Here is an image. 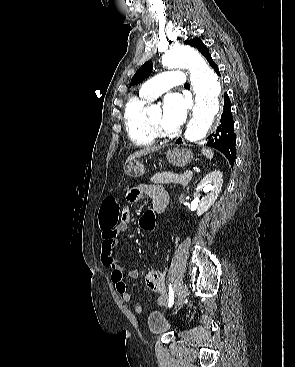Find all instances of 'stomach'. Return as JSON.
I'll return each mask as SVG.
<instances>
[{"label": "stomach", "instance_id": "0dacf381", "mask_svg": "<svg viewBox=\"0 0 295 367\" xmlns=\"http://www.w3.org/2000/svg\"><path fill=\"white\" fill-rule=\"evenodd\" d=\"M168 162L176 167H183L189 164L193 159V153L188 149H171L166 154ZM124 172L126 175L137 178L145 173L144 165L139 161L134 160L128 162L124 167Z\"/></svg>", "mask_w": 295, "mask_h": 367}]
</instances>
